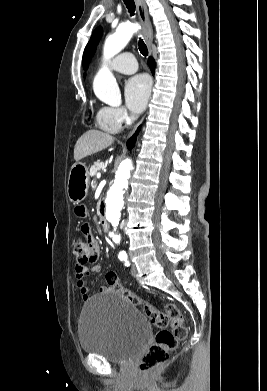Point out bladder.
<instances>
[{"instance_id": "bladder-1", "label": "bladder", "mask_w": 267, "mask_h": 391, "mask_svg": "<svg viewBox=\"0 0 267 391\" xmlns=\"http://www.w3.org/2000/svg\"><path fill=\"white\" fill-rule=\"evenodd\" d=\"M78 335L83 352L126 363L146 345L150 326L135 305L109 292L93 297L83 306Z\"/></svg>"}]
</instances>
